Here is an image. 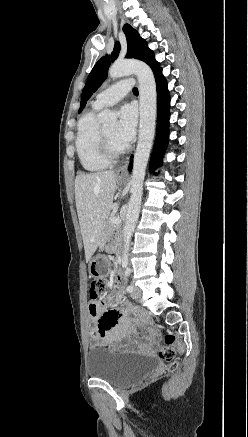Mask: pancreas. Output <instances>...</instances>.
<instances>
[{"mask_svg": "<svg viewBox=\"0 0 248 437\" xmlns=\"http://www.w3.org/2000/svg\"><path fill=\"white\" fill-rule=\"evenodd\" d=\"M112 218L113 217L108 218L107 222H106V230L109 233H112L117 228L116 225H114L113 223L110 222Z\"/></svg>", "mask_w": 248, "mask_h": 437, "instance_id": "obj_1", "label": "pancreas"}]
</instances>
